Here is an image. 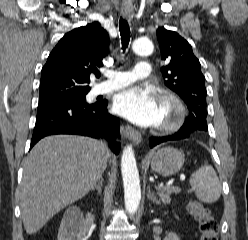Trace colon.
<instances>
[{"instance_id": "colon-1", "label": "colon", "mask_w": 248, "mask_h": 240, "mask_svg": "<svg viewBox=\"0 0 248 240\" xmlns=\"http://www.w3.org/2000/svg\"><path fill=\"white\" fill-rule=\"evenodd\" d=\"M187 209L199 223L201 240H218L219 225L211 212L199 202L191 200L187 204Z\"/></svg>"}]
</instances>
